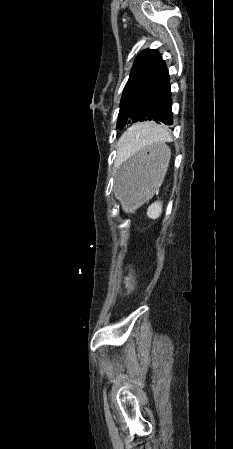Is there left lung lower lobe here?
I'll list each match as a JSON object with an SVG mask.
<instances>
[{
	"label": "left lung lower lobe",
	"mask_w": 233,
	"mask_h": 449,
	"mask_svg": "<svg viewBox=\"0 0 233 449\" xmlns=\"http://www.w3.org/2000/svg\"><path fill=\"white\" fill-rule=\"evenodd\" d=\"M146 121L162 122L166 125L173 124L172 98L170 84L155 98L149 109Z\"/></svg>",
	"instance_id": "obj_1"
}]
</instances>
